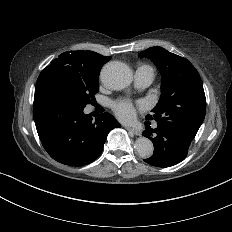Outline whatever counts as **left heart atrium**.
Masks as SVG:
<instances>
[{
	"instance_id": "obj_1",
	"label": "left heart atrium",
	"mask_w": 232,
	"mask_h": 232,
	"mask_svg": "<svg viewBox=\"0 0 232 232\" xmlns=\"http://www.w3.org/2000/svg\"><path fill=\"white\" fill-rule=\"evenodd\" d=\"M115 112L122 120H131L134 118V108L130 103L122 102L115 105Z\"/></svg>"
}]
</instances>
